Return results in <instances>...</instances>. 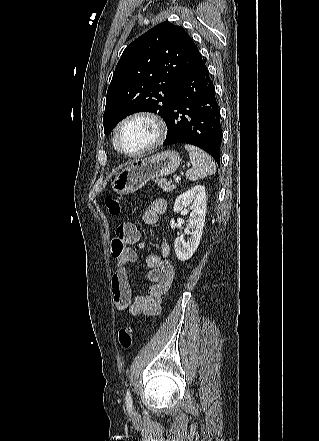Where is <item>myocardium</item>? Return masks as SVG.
<instances>
[{"label": "myocardium", "instance_id": "obj_1", "mask_svg": "<svg viewBox=\"0 0 319 441\" xmlns=\"http://www.w3.org/2000/svg\"><path fill=\"white\" fill-rule=\"evenodd\" d=\"M134 120H145L150 122L153 127H154V138L153 140L147 144L146 146H144L143 148L134 151V152H128L126 150H124L121 147L120 144V140H119V136H120V132L123 129V127ZM167 135V125L164 121V119L151 111H136L133 112L129 115H127L126 117H124L117 125L115 132H114V146L117 149L118 152H120L121 154L128 156V157H137V156H141L144 155L154 149H156L158 146H160L163 141L165 140Z\"/></svg>", "mask_w": 319, "mask_h": 441}]
</instances>
